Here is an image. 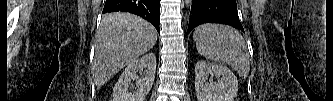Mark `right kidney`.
<instances>
[{
    "label": "right kidney",
    "mask_w": 333,
    "mask_h": 101,
    "mask_svg": "<svg viewBox=\"0 0 333 101\" xmlns=\"http://www.w3.org/2000/svg\"><path fill=\"white\" fill-rule=\"evenodd\" d=\"M143 69H145V76H138L136 73ZM155 70L156 56L154 53H148L131 61L113 89V101H144L153 85ZM134 80H136V88L132 90L131 82Z\"/></svg>",
    "instance_id": "ca27d5eb"
}]
</instances>
